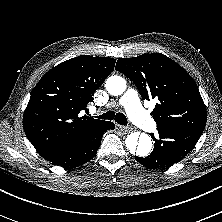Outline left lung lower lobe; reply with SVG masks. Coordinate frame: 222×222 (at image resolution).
Instances as JSON below:
<instances>
[{"label":"left lung lower lobe","instance_id":"1","mask_svg":"<svg viewBox=\"0 0 222 222\" xmlns=\"http://www.w3.org/2000/svg\"><path fill=\"white\" fill-rule=\"evenodd\" d=\"M157 130L159 138L150 134L155 141L152 153L145 158L135 157L139 163L153 169L168 168L182 160L202 135L190 129L172 126H158Z\"/></svg>","mask_w":222,"mask_h":222}]
</instances>
